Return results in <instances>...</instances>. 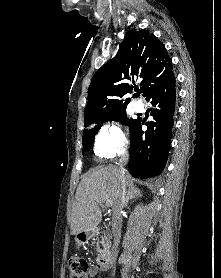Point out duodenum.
Instances as JSON below:
<instances>
[{
  "label": "duodenum",
  "mask_w": 221,
  "mask_h": 278,
  "mask_svg": "<svg viewBox=\"0 0 221 278\" xmlns=\"http://www.w3.org/2000/svg\"><path fill=\"white\" fill-rule=\"evenodd\" d=\"M99 232L98 229L82 231L78 240L81 244L86 243ZM111 253L109 251L100 253L97 258V268L100 270L107 269L110 263Z\"/></svg>",
  "instance_id": "duodenum-1"
}]
</instances>
